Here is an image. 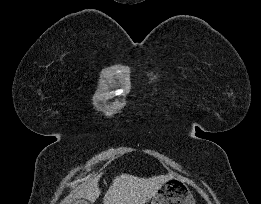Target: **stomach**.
<instances>
[{"label":"stomach","mask_w":261,"mask_h":204,"mask_svg":"<svg viewBox=\"0 0 261 204\" xmlns=\"http://www.w3.org/2000/svg\"><path fill=\"white\" fill-rule=\"evenodd\" d=\"M151 204H195V200L186 181L172 175L153 196Z\"/></svg>","instance_id":"stomach-1"}]
</instances>
